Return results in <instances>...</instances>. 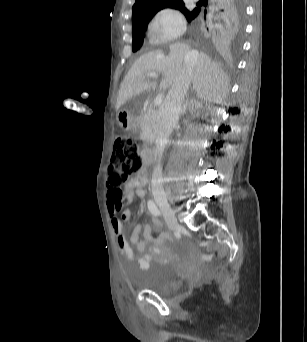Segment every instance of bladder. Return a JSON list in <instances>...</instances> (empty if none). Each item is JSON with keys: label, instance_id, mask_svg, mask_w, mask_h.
I'll return each instance as SVG.
<instances>
[{"label": "bladder", "instance_id": "31cf9c89", "mask_svg": "<svg viewBox=\"0 0 307 342\" xmlns=\"http://www.w3.org/2000/svg\"><path fill=\"white\" fill-rule=\"evenodd\" d=\"M180 282V273L172 264L154 260L146 268L143 286L150 291L167 294L177 290Z\"/></svg>", "mask_w": 307, "mask_h": 342}]
</instances>
